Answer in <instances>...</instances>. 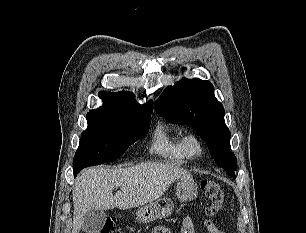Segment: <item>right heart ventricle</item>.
Listing matches in <instances>:
<instances>
[{"label":"right heart ventricle","mask_w":306,"mask_h":233,"mask_svg":"<svg viewBox=\"0 0 306 233\" xmlns=\"http://www.w3.org/2000/svg\"><path fill=\"white\" fill-rule=\"evenodd\" d=\"M183 134L166 125H160L156 132L151 150L172 162L181 164L186 156L183 150Z\"/></svg>","instance_id":"obj_1"}]
</instances>
